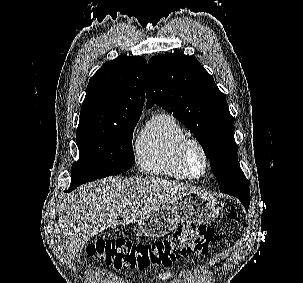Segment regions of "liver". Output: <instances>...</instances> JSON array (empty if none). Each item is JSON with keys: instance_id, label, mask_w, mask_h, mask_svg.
Listing matches in <instances>:
<instances>
[{"instance_id": "6515ba94", "label": "liver", "mask_w": 303, "mask_h": 283, "mask_svg": "<svg viewBox=\"0 0 303 283\" xmlns=\"http://www.w3.org/2000/svg\"><path fill=\"white\" fill-rule=\"evenodd\" d=\"M192 192L199 191L177 181L105 178L67 195L60 206L58 234L63 236L65 248L72 255L82 251L98 233L140 222L175 198Z\"/></svg>"}]
</instances>
